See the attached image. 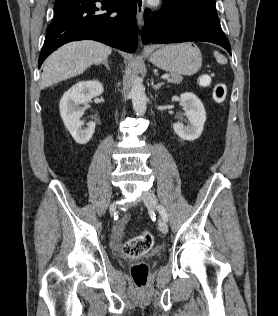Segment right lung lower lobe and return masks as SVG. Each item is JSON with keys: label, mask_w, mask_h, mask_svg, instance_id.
Here are the masks:
<instances>
[{"label": "right lung lower lobe", "mask_w": 278, "mask_h": 316, "mask_svg": "<svg viewBox=\"0 0 278 316\" xmlns=\"http://www.w3.org/2000/svg\"><path fill=\"white\" fill-rule=\"evenodd\" d=\"M136 11L137 0H56L54 19L47 28L38 67L58 47L76 40H96L134 52Z\"/></svg>", "instance_id": "98d812e1"}]
</instances>
